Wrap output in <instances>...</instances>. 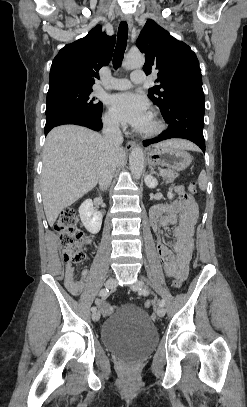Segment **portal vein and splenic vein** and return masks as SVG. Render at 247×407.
Instances as JSON below:
<instances>
[{"instance_id": "1", "label": "portal vein and splenic vein", "mask_w": 247, "mask_h": 407, "mask_svg": "<svg viewBox=\"0 0 247 407\" xmlns=\"http://www.w3.org/2000/svg\"><path fill=\"white\" fill-rule=\"evenodd\" d=\"M163 172V170H160V173H162Z\"/></svg>"}]
</instances>
